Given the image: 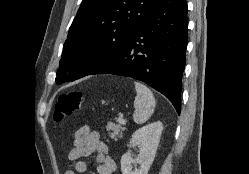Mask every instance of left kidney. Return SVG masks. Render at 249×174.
Returning <instances> with one entry per match:
<instances>
[{
	"label": "left kidney",
	"mask_w": 249,
	"mask_h": 174,
	"mask_svg": "<svg viewBox=\"0 0 249 174\" xmlns=\"http://www.w3.org/2000/svg\"><path fill=\"white\" fill-rule=\"evenodd\" d=\"M163 124L160 121L145 125L136 130L129 143V147H138L139 154L133 158L128 151L121 158L122 174H148L162 134ZM132 164L140 167L132 170Z\"/></svg>",
	"instance_id": "left-kidney-1"
}]
</instances>
